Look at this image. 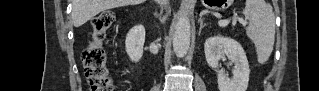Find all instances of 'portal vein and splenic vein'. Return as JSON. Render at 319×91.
I'll return each instance as SVG.
<instances>
[{"instance_id": "1", "label": "portal vein and splenic vein", "mask_w": 319, "mask_h": 91, "mask_svg": "<svg viewBox=\"0 0 319 91\" xmlns=\"http://www.w3.org/2000/svg\"><path fill=\"white\" fill-rule=\"evenodd\" d=\"M237 19H238V18H237ZM237 19H236V20H237ZM238 20H239V22H241V23L244 22L242 19H238ZM228 23H229V21H227V20H222V21L218 22V24H219L220 27H224V26H226Z\"/></svg>"}]
</instances>
